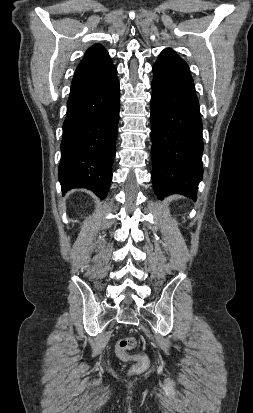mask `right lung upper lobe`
Segmentation results:
<instances>
[{
    "label": "right lung upper lobe",
    "instance_id": "right-lung-upper-lobe-1",
    "mask_svg": "<svg viewBox=\"0 0 253 413\" xmlns=\"http://www.w3.org/2000/svg\"><path fill=\"white\" fill-rule=\"evenodd\" d=\"M114 67L105 48L100 44L93 45L86 51L75 71L70 96L91 89L102 81Z\"/></svg>",
    "mask_w": 253,
    "mask_h": 413
}]
</instances>
